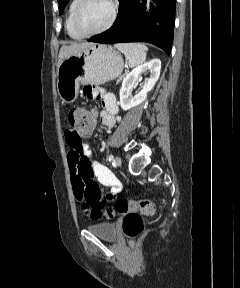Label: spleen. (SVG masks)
Listing matches in <instances>:
<instances>
[{
    "label": "spleen",
    "instance_id": "3e777b00",
    "mask_svg": "<svg viewBox=\"0 0 240 288\" xmlns=\"http://www.w3.org/2000/svg\"><path fill=\"white\" fill-rule=\"evenodd\" d=\"M115 47L125 55L130 67H135L146 59L148 48L142 43H119Z\"/></svg>",
    "mask_w": 240,
    "mask_h": 288
}]
</instances>
